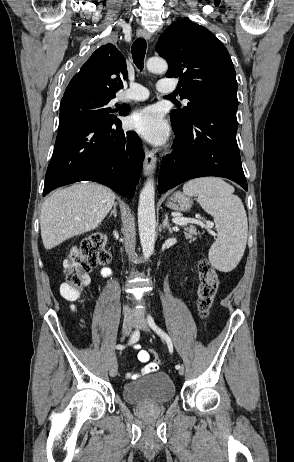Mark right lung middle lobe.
Masks as SVG:
<instances>
[{"instance_id": "dd1d6c3e", "label": "right lung middle lobe", "mask_w": 294, "mask_h": 462, "mask_svg": "<svg viewBox=\"0 0 294 462\" xmlns=\"http://www.w3.org/2000/svg\"><path fill=\"white\" fill-rule=\"evenodd\" d=\"M114 97L81 93L62 98L59 129L75 124L115 121L117 118L111 113L121 111L122 107L119 109L110 107V101Z\"/></svg>"}]
</instances>
